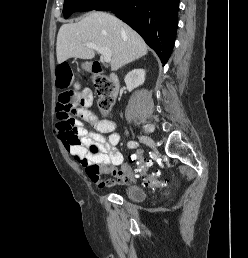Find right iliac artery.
<instances>
[{"label": "right iliac artery", "instance_id": "right-iliac-artery-1", "mask_svg": "<svg viewBox=\"0 0 248 258\" xmlns=\"http://www.w3.org/2000/svg\"><path fill=\"white\" fill-rule=\"evenodd\" d=\"M127 146H128L129 148H136L137 146H139V144H138V142H136V141H129L128 144H127Z\"/></svg>", "mask_w": 248, "mask_h": 258}]
</instances>
